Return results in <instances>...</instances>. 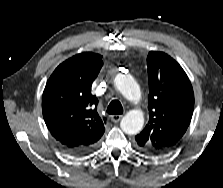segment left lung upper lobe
Listing matches in <instances>:
<instances>
[{
  "instance_id": "left-lung-upper-lobe-1",
  "label": "left lung upper lobe",
  "mask_w": 223,
  "mask_h": 188,
  "mask_svg": "<svg viewBox=\"0 0 223 188\" xmlns=\"http://www.w3.org/2000/svg\"><path fill=\"white\" fill-rule=\"evenodd\" d=\"M149 121L135 139L149 154H163L186 132L194 109L193 88L182 67L169 55L147 56Z\"/></svg>"
}]
</instances>
